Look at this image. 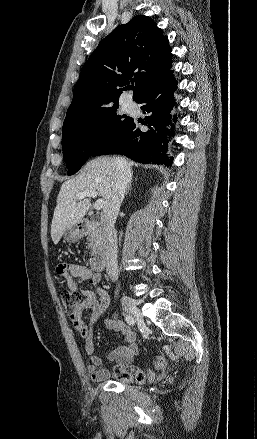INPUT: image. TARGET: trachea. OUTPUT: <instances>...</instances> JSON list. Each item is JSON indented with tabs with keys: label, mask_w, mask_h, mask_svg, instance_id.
<instances>
[{
	"label": "trachea",
	"mask_w": 257,
	"mask_h": 439,
	"mask_svg": "<svg viewBox=\"0 0 257 439\" xmlns=\"http://www.w3.org/2000/svg\"><path fill=\"white\" fill-rule=\"evenodd\" d=\"M130 89H134V86H133V85H131V86H130Z\"/></svg>",
	"instance_id": "obj_1"
}]
</instances>
